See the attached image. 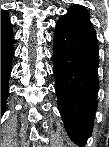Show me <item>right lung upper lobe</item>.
I'll return each instance as SVG.
<instances>
[{
  "label": "right lung upper lobe",
  "mask_w": 109,
  "mask_h": 147,
  "mask_svg": "<svg viewBox=\"0 0 109 147\" xmlns=\"http://www.w3.org/2000/svg\"><path fill=\"white\" fill-rule=\"evenodd\" d=\"M8 17V12L6 10H1V20H4Z\"/></svg>",
  "instance_id": "cb5924a9"
}]
</instances>
